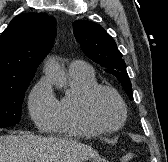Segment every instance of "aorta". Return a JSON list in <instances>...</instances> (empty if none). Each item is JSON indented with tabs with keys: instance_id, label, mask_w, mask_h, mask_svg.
<instances>
[{
	"instance_id": "1",
	"label": "aorta",
	"mask_w": 168,
	"mask_h": 162,
	"mask_svg": "<svg viewBox=\"0 0 168 162\" xmlns=\"http://www.w3.org/2000/svg\"><path fill=\"white\" fill-rule=\"evenodd\" d=\"M45 73L47 77H49L56 84V86L60 88L65 87L67 82V74L54 58H50L47 61Z\"/></svg>"
}]
</instances>
